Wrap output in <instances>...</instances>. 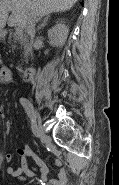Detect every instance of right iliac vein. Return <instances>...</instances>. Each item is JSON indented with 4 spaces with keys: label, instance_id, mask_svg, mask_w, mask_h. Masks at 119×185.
Listing matches in <instances>:
<instances>
[{
    "label": "right iliac vein",
    "instance_id": "right-iliac-vein-1",
    "mask_svg": "<svg viewBox=\"0 0 119 185\" xmlns=\"http://www.w3.org/2000/svg\"><path fill=\"white\" fill-rule=\"evenodd\" d=\"M33 107V113H37V118H35L36 120L34 121V125L37 127V130L39 132V136L42 140L43 143H45L47 141V135L45 133V130L43 129V127L41 126V119L39 116L38 111L36 110V108L32 105Z\"/></svg>",
    "mask_w": 119,
    "mask_h": 185
}]
</instances>
